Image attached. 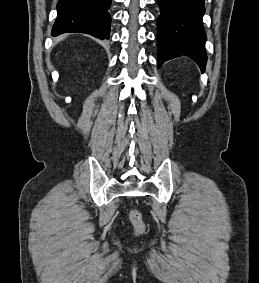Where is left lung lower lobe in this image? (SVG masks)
Masks as SVG:
<instances>
[{"mask_svg": "<svg viewBox=\"0 0 259 283\" xmlns=\"http://www.w3.org/2000/svg\"><path fill=\"white\" fill-rule=\"evenodd\" d=\"M158 67L172 58L189 56L204 72L207 54L202 17L204 0H158Z\"/></svg>", "mask_w": 259, "mask_h": 283, "instance_id": "0a47b994", "label": "left lung lower lobe"}]
</instances>
